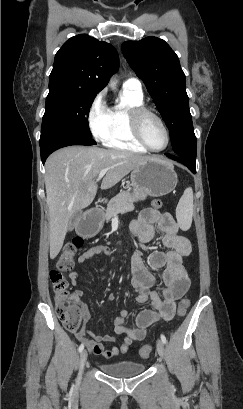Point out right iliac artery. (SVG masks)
Listing matches in <instances>:
<instances>
[{
    "label": "right iliac artery",
    "mask_w": 243,
    "mask_h": 409,
    "mask_svg": "<svg viewBox=\"0 0 243 409\" xmlns=\"http://www.w3.org/2000/svg\"><path fill=\"white\" fill-rule=\"evenodd\" d=\"M83 349H84V344L82 343V344L79 346L78 350H79V352L81 353V352L83 351Z\"/></svg>",
    "instance_id": "1"
}]
</instances>
